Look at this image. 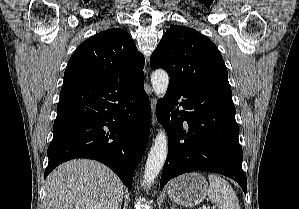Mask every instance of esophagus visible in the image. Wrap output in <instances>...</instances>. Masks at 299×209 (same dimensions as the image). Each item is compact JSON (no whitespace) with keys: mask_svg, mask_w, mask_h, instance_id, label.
<instances>
[{"mask_svg":"<svg viewBox=\"0 0 299 209\" xmlns=\"http://www.w3.org/2000/svg\"><path fill=\"white\" fill-rule=\"evenodd\" d=\"M151 106H152V123H153V125H155V123H156V100H155V98H152Z\"/></svg>","mask_w":299,"mask_h":209,"instance_id":"34e87169","label":"esophagus"}]
</instances>
